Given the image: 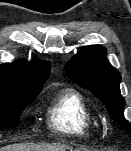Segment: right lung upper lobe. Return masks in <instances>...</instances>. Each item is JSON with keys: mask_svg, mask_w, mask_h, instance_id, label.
I'll list each match as a JSON object with an SVG mask.
<instances>
[{"mask_svg": "<svg viewBox=\"0 0 131 151\" xmlns=\"http://www.w3.org/2000/svg\"><path fill=\"white\" fill-rule=\"evenodd\" d=\"M50 74V64L44 61H17L0 65V87L42 88Z\"/></svg>", "mask_w": 131, "mask_h": 151, "instance_id": "obj_1", "label": "right lung upper lobe"}]
</instances>
